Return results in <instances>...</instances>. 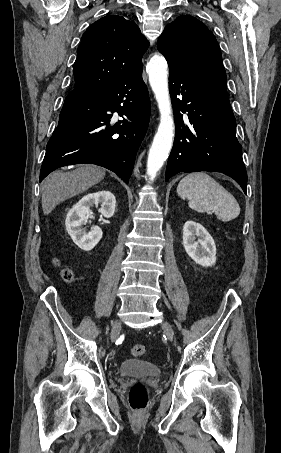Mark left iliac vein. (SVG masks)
Segmentation results:
<instances>
[{
	"instance_id": "4c4485c4",
	"label": "left iliac vein",
	"mask_w": 281,
	"mask_h": 453,
	"mask_svg": "<svg viewBox=\"0 0 281 453\" xmlns=\"http://www.w3.org/2000/svg\"><path fill=\"white\" fill-rule=\"evenodd\" d=\"M165 327H164V330L166 332V334L169 336V338L172 340L174 337V332L172 331L171 327L165 322L163 324Z\"/></svg>"
}]
</instances>
